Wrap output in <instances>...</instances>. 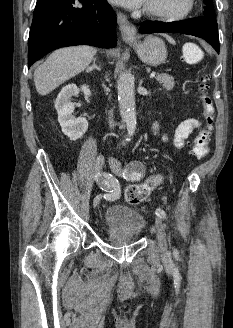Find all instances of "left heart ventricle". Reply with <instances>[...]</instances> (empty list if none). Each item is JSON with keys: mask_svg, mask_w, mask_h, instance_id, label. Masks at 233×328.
Returning <instances> with one entry per match:
<instances>
[{"mask_svg": "<svg viewBox=\"0 0 233 328\" xmlns=\"http://www.w3.org/2000/svg\"><path fill=\"white\" fill-rule=\"evenodd\" d=\"M147 7L169 13H177L185 6V0H148Z\"/></svg>", "mask_w": 233, "mask_h": 328, "instance_id": "b2bd125f", "label": "left heart ventricle"}]
</instances>
